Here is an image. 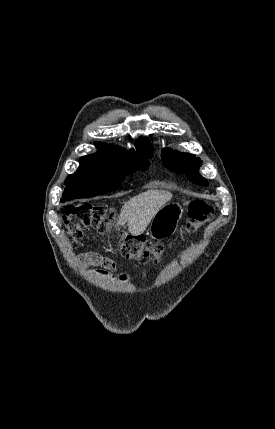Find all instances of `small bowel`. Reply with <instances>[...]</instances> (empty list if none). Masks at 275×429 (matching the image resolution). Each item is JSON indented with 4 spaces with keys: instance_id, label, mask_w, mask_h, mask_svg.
Instances as JSON below:
<instances>
[{
    "instance_id": "c3829d8e",
    "label": "small bowel",
    "mask_w": 275,
    "mask_h": 429,
    "mask_svg": "<svg viewBox=\"0 0 275 429\" xmlns=\"http://www.w3.org/2000/svg\"><path fill=\"white\" fill-rule=\"evenodd\" d=\"M98 272H99L101 275H107V272H106V271L98 270ZM125 278H126V276H124V275H122V276H121V279H125Z\"/></svg>"
}]
</instances>
